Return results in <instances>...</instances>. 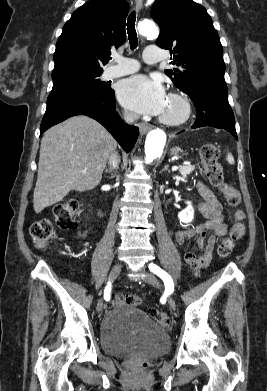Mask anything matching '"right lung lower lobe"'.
Returning a JSON list of instances; mask_svg holds the SVG:
<instances>
[{"mask_svg":"<svg viewBox=\"0 0 267 391\" xmlns=\"http://www.w3.org/2000/svg\"><path fill=\"white\" fill-rule=\"evenodd\" d=\"M114 90L107 92L86 89H66L50 93L47 108L40 126V135L51 126L75 116L86 115L101 123L126 152L134 146L139 131L125 125L118 115Z\"/></svg>","mask_w":267,"mask_h":391,"instance_id":"right-lung-lower-lobe-1","label":"right lung lower lobe"}]
</instances>
